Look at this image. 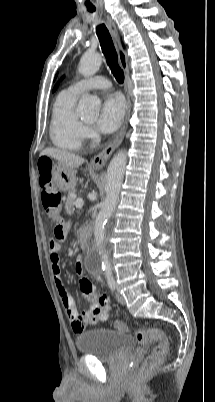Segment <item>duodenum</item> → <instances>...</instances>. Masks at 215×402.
<instances>
[{"label":"duodenum","mask_w":215,"mask_h":402,"mask_svg":"<svg viewBox=\"0 0 215 402\" xmlns=\"http://www.w3.org/2000/svg\"><path fill=\"white\" fill-rule=\"evenodd\" d=\"M90 233L85 231L81 236V243L84 248H87L89 245Z\"/></svg>","instance_id":"obj_1"}]
</instances>
